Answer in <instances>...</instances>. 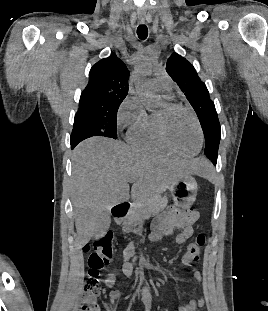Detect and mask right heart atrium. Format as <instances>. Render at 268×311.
I'll return each instance as SVG.
<instances>
[{"label":"right heart atrium","instance_id":"1","mask_svg":"<svg viewBox=\"0 0 268 311\" xmlns=\"http://www.w3.org/2000/svg\"><path fill=\"white\" fill-rule=\"evenodd\" d=\"M143 105L138 97L128 96L121 104L117 114L120 128L133 126L145 116Z\"/></svg>","mask_w":268,"mask_h":311}]
</instances>
